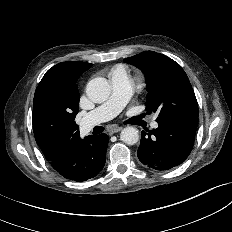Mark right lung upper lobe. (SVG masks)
<instances>
[{
  "label": "right lung upper lobe",
  "instance_id": "obj_1",
  "mask_svg": "<svg viewBox=\"0 0 232 232\" xmlns=\"http://www.w3.org/2000/svg\"><path fill=\"white\" fill-rule=\"evenodd\" d=\"M92 65L82 61H71L61 62L53 66L45 73L36 88L33 109L48 97H63L72 107L76 104L79 105V92L76 82L81 74ZM34 127L37 129V124L33 120ZM79 137V127L76 125L53 140H47L38 135L35 136V139L46 159L53 168H56L62 163L66 147Z\"/></svg>",
  "mask_w": 232,
  "mask_h": 232
}]
</instances>
